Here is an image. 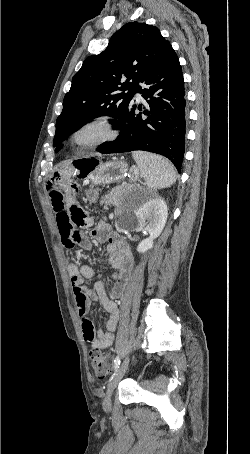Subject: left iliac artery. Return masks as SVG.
I'll return each mask as SVG.
<instances>
[{
	"label": "left iliac artery",
	"instance_id": "44dca946",
	"mask_svg": "<svg viewBox=\"0 0 250 454\" xmlns=\"http://www.w3.org/2000/svg\"><path fill=\"white\" fill-rule=\"evenodd\" d=\"M120 357L117 356L114 360V370H115V373L114 375L116 374V372L118 371V368H119V365H120Z\"/></svg>",
	"mask_w": 250,
	"mask_h": 454
}]
</instances>
